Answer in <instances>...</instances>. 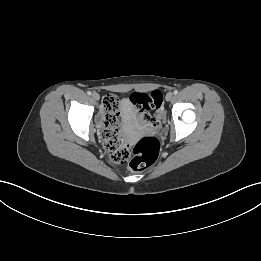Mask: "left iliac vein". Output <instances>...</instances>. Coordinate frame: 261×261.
I'll list each match as a JSON object with an SVG mask.
<instances>
[{"mask_svg":"<svg viewBox=\"0 0 261 261\" xmlns=\"http://www.w3.org/2000/svg\"><path fill=\"white\" fill-rule=\"evenodd\" d=\"M165 99L166 101H171L173 99V93L171 92L167 93Z\"/></svg>","mask_w":261,"mask_h":261,"instance_id":"4c4485c4","label":"left iliac vein"}]
</instances>
